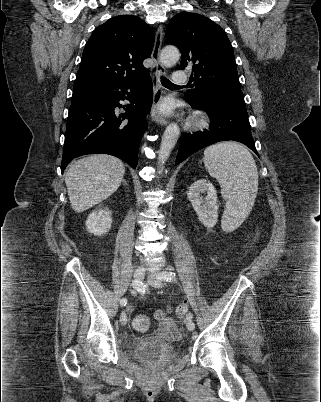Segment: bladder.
<instances>
[{"instance_id":"1","label":"bladder","mask_w":321,"mask_h":402,"mask_svg":"<svg viewBox=\"0 0 321 402\" xmlns=\"http://www.w3.org/2000/svg\"><path fill=\"white\" fill-rule=\"evenodd\" d=\"M173 344L163 341L160 333H152L138 338L132 353L147 365L167 366L174 359Z\"/></svg>"}]
</instances>
